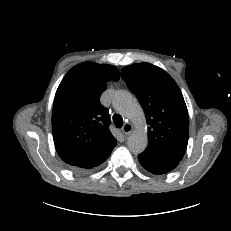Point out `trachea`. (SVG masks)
Wrapping results in <instances>:
<instances>
[{"label":"trachea","mask_w":231,"mask_h":231,"mask_svg":"<svg viewBox=\"0 0 231 231\" xmlns=\"http://www.w3.org/2000/svg\"><path fill=\"white\" fill-rule=\"evenodd\" d=\"M113 121H114V124L117 128H121L123 126V119L120 115L114 114L113 115Z\"/></svg>","instance_id":"trachea-1"}]
</instances>
